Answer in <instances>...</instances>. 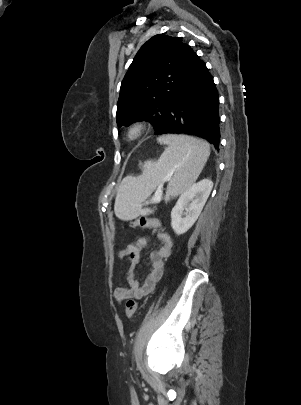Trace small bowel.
<instances>
[{"instance_id": "small-bowel-1", "label": "small bowel", "mask_w": 301, "mask_h": 405, "mask_svg": "<svg viewBox=\"0 0 301 405\" xmlns=\"http://www.w3.org/2000/svg\"><path fill=\"white\" fill-rule=\"evenodd\" d=\"M157 238L161 246L158 250L150 253V270L142 280L137 279L135 271L140 262L142 251L148 246V239L146 237H139L134 243L128 244L120 251L119 255L121 258L129 259L130 267L127 272L126 285L115 290L114 297L117 302L130 298L141 299L145 297L160 280L163 273V261L170 256L173 241L168 233L161 230L157 231Z\"/></svg>"}]
</instances>
